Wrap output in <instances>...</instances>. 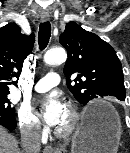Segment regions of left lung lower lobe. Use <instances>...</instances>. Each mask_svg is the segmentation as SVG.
Instances as JSON below:
<instances>
[{
  "label": "left lung lower lobe",
  "mask_w": 130,
  "mask_h": 153,
  "mask_svg": "<svg viewBox=\"0 0 130 153\" xmlns=\"http://www.w3.org/2000/svg\"><path fill=\"white\" fill-rule=\"evenodd\" d=\"M124 100H125V99H122L121 101H124ZM102 113H104V111L101 112V113H99V112H97V111L90 110V111L88 112V114H87V118L90 119V118H92V117H94V116H96V115L102 114Z\"/></svg>",
  "instance_id": "left-lung-lower-lobe-1"
}]
</instances>
